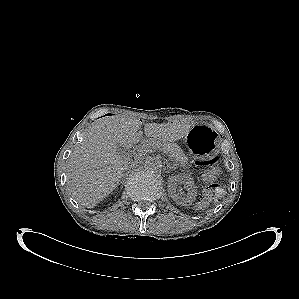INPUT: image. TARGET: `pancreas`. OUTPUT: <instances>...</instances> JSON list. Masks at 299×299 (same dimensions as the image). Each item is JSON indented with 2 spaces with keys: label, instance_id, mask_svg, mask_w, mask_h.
<instances>
[{
  "label": "pancreas",
  "instance_id": "cf45deb5",
  "mask_svg": "<svg viewBox=\"0 0 299 299\" xmlns=\"http://www.w3.org/2000/svg\"><path fill=\"white\" fill-rule=\"evenodd\" d=\"M146 146L149 148H157L167 154L173 159L178 165L185 166L187 163V157L183 153L182 149L175 143H168L162 141L150 140L146 142Z\"/></svg>",
  "mask_w": 299,
  "mask_h": 299
}]
</instances>
